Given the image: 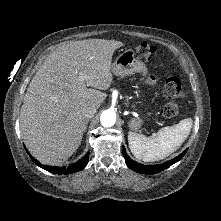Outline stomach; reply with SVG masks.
<instances>
[{
  "label": "stomach",
  "mask_w": 221,
  "mask_h": 221,
  "mask_svg": "<svg viewBox=\"0 0 221 221\" xmlns=\"http://www.w3.org/2000/svg\"><path fill=\"white\" fill-rule=\"evenodd\" d=\"M112 72L119 77L129 76L135 73L146 74L147 68L143 61L136 57L132 49L122 52L112 64ZM143 124L142 118H134L129 122V127L132 130H137Z\"/></svg>",
  "instance_id": "stomach-1"
}]
</instances>
